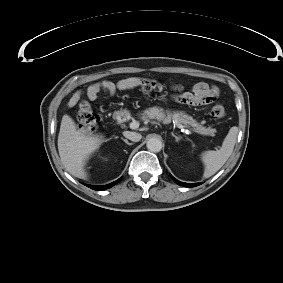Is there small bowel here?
Returning a JSON list of instances; mask_svg holds the SVG:
<instances>
[{
	"label": "small bowel",
	"instance_id": "c3829d8e",
	"mask_svg": "<svg viewBox=\"0 0 283 283\" xmlns=\"http://www.w3.org/2000/svg\"><path fill=\"white\" fill-rule=\"evenodd\" d=\"M138 85V81L134 78H123L117 82L103 81L101 83H96L90 85L87 89V97L90 100H95L101 89L106 90L109 95L114 96L120 90H127ZM217 96L216 88H211L205 83H197L193 89V94H176L174 99L180 103L185 104H204L212 102ZM81 93L76 91L70 97L68 105L74 106L80 100Z\"/></svg>",
	"mask_w": 283,
	"mask_h": 283
}]
</instances>
